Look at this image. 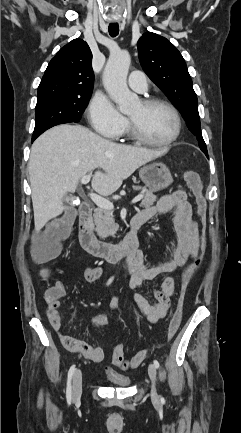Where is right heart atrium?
<instances>
[{
  "label": "right heart atrium",
  "instance_id": "d8ad5b80",
  "mask_svg": "<svg viewBox=\"0 0 241 433\" xmlns=\"http://www.w3.org/2000/svg\"><path fill=\"white\" fill-rule=\"evenodd\" d=\"M88 116L95 131L112 139H118L128 126L127 118L104 96H96L92 99Z\"/></svg>",
  "mask_w": 241,
  "mask_h": 433
}]
</instances>
